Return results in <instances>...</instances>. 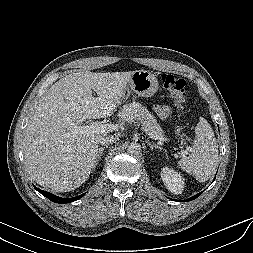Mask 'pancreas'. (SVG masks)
Here are the masks:
<instances>
[{"mask_svg":"<svg viewBox=\"0 0 253 253\" xmlns=\"http://www.w3.org/2000/svg\"><path fill=\"white\" fill-rule=\"evenodd\" d=\"M118 116L121 123L140 121L147 134L150 133L159 137L164 136V132L155 117L139 102L124 105Z\"/></svg>","mask_w":253,"mask_h":253,"instance_id":"obj_1","label":"pancreas"}]
</instances>
